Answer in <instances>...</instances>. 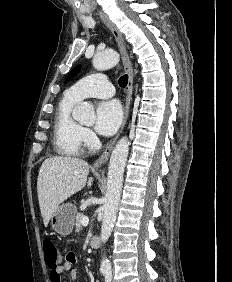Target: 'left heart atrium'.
Returning <instances> with one entry per match:
<instances>
[{"label":"left heart atrium","instance_id":"39dd6f15","mask_svg":"<svg viewBox=\"0 0 232 282\" xmlns=\"http://www.w3.org/2000/svg\"><path fill=\"white\" fill-rule=\"evenodd\" d=\"M122 107L116 100L99 103L96 109L95 129L102 135H112L122 121Z\"/></svg>","mask_w":232,"mask_h":282}]
</instances>
